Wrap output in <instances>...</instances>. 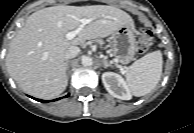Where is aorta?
Wrapping results in <instances>:
<instances>
[{
	"mask_svg": "<svg viewBox=\"0 0 194 133\" xmlns=\"http://www.w3.org/2000/svg\"><path fill=\"white\" fill-rule=\"evenodd\" d=\"M93 64V60L91 57L89 56H84L82 58V65L85 66V67H89V66H92Z\"/></svg>",
	"mask_w": 194,
	"mask_h": 133,
	"instance_id": "aorta-1",
	"label": "aorta"
}]
</instances>
